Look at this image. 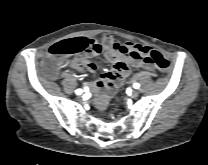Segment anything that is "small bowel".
Listing matches in <instances>:
<instances>
[{"mask_svg":"<svg viewBox=\"0 0 208 165\" xmlns=\"http://www.w3.org/2000/svg\"><path fill=\"white\" fill-rule=\"evenodd\" d=\"M87 42L88 48L64 65L80 73L95 72L99 64L91 58L100 54L106 55L112 64L111 69L102 74L96 82L87 85L88 90L96 93V105L101 110L106 109L114 90L124 82L131 67L153 69V65L144 60L143 49L147 46L133 42L124 43L110 34H103L100 41L89 39Z\"/></svg>","mask_w":208,"mask_h":165,"instance_id":"small-bowel-1","label":"small bowel"}]
</instances>
